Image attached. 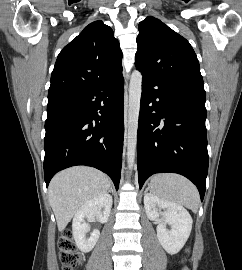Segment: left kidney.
I'll return each instance as SVG.
<instances>
[{"mask_svg":"<svg viewBox=\"0 0 242 270\" xmlns=\"http://www.w3.org/2000/svg\"><path fill=\"white\" fill-rule=\"evenodd\" d=\"M144 207L147 217L158 221L157 238L162 247L171 255L177 254L192 229L193 221L189 212L183 206L151 193L145 194ZM166 224L171 226L170 230L166 228Z\"/></svg>","mask_w":242,"mask_h":270,"instance_id":"left-kidney-1","label":"left kidney"}]
</instances>
